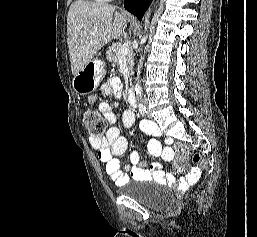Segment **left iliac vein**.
<instances>
[{"label":"left iliac vein","instance_id":"left-iliac-vein-1","mask_svg":"<svg viewBox=\"0 0 257 237\" xmlns=\"http://www.w3.org/2000/svg\"><path fill=\"white\" fill-rule=\"evenodd\" d=\"M147 116L148 117H150L151 116V112H150V110L148 109V111H147Z\"/></svg>","mask_w":257,"mask_h":237}]
</instances>
